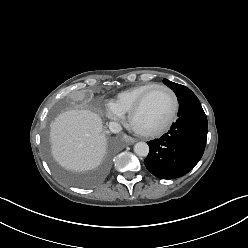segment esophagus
<instances>
[{
    "instance_id": "34e87169",
    "label": "esophagus",
    "mask_w": 248,
    "mask_h": 248,
    "mask_svg": "<svg viewBox=\"0 0 248 248\" xmlns=\"http://www.w3.org/2000/svg\"><path fill=\"white\" fill-rule=\"evenodd\" d=\"M124 140L127 144H130V145L134 144L136 142L135 138H132V137L127 136V135L124 136Z\"/></svg>"
}]
</instances>
